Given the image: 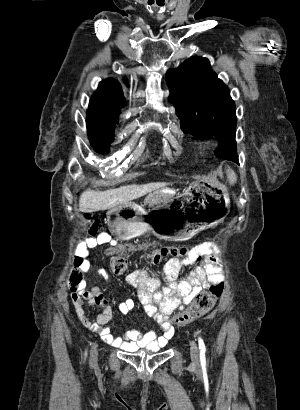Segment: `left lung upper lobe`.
I'll use <instances>...</instances> for the list:
<instances>
[{
	"label": "left lung upper lobe",
	"instance_id": "left-lung-upper-lobe-1",
	"mask_svg": "<svg viewBox=\"0 0 300 410\" xmlns=\"http://www.w3.org/2000/svg\"><path fill=\"white\" fill-rule=\"evenodd\" d=\"M170 101L175 105L185 133L215 136L216 155L238 163L235 104L227 86L211 70L209 60L192 57L167 72Z\"/></svg>",
	"mask_w": 300,
	"mask_h": 410
}]
</instances>
